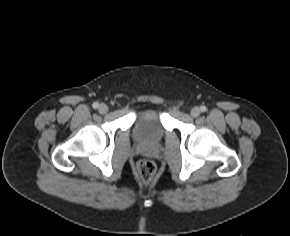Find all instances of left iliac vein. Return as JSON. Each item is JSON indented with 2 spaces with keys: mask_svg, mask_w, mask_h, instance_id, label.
Masks as SVG:
<instances>
[{
  "mask_svg": "<svg viewBox=\"0 0 290 236\" xmlns=\"http://www.w3.org/2000/svg\"><path fill=\"white\" fill-rule=\"evenodd\" d=\"M190 113H191L192 117H198L200 115V113H201V110L198 107H194V108L191 109Z\"/></svg>",
  "mask_w": 290,
  "mask_h": 236,
  "instance_id": "1",
  "label": "left iliac vein"
}]
</instances>
